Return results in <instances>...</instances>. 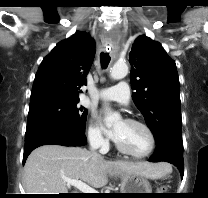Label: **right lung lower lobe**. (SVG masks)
<instances>
[{"mask_svg":"<svg viewBox=\"0 0 208 198\" xmlns=\"http://www.w3.org/2000/svg\"><path fill=\"white\" fill-rule=\"evenodd\" d=\"M84 146L85 133L63 123H46L26 130L23 164L28 155L42 145Z\"/></svg>","mask_w":208,"mask_h":198,"instance_id":"right-lung-lower-lobe-1","label":"right lung lower lobe"}]
</instances>
